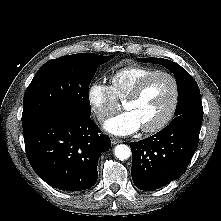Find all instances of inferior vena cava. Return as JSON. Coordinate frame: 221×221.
Masks as SVG:
<instances>
[{"label":"inferior vena cava","instance_id":"inferior-vena-cava-1","mask_svg":"<svg viewBox=\"0 0 221 221\" xmlns=\"http://www.w3.org/2000/svg\"><path fill=\"white\" fill-rule=\"evenodd\" d=\"M104 117H105V116H103V115H100V118H101V119H103Z\"/></svg>","mask_w":221,"mask_h":221}]
</instances>
